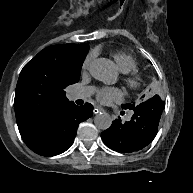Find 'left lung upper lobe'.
<instances>
[{
  "label": "left lung upper lobe",
  "instance_id": "5c2ea615",
  "mask_svg": "<svg viewBox=\"0 0 193 193\" xmlns=\"http://www.w3.org/2000/svg\"><path fill=\"white\" fill-rule=\"evenodd\" d=\"M125 105H123V107H124ZM126 106H128L129 108H133L134 107V105H132V104H126Z\"/></svg>",
  "mask_w": 193,
  "mask_h": 193
}]
</instances>
